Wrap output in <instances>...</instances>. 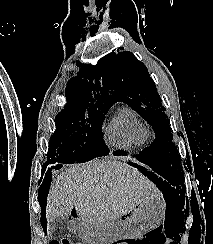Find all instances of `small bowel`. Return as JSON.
I'll return each instance as SVG.
<instances>
[{
    "instance_id": "small-bowel-1",
    "label": "small bowel",
    "mask_w": 213,
    "mask_h": 244,
    "mask_svg": "<svg viewBox=\"0 0 213 244\" xmlns=\"http://www.w3.org/2000/svg\"><path fill=\"white\" fill-rule=\"evenodd\" d=\"M115 244H128L126 242H116Z\"/></svg>"
}]
</instances>
